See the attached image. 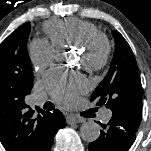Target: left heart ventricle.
Wrapping results in <instances>:
<instances>
[{"label":"left heart ventricle","instance_id":"obj_1","mask_svg":"<svg viewBox=\"0 0 151 151\" xmlns=\"http://www.w3.org/2000/svg\"><path fill=\"white\" fill-rule=\"evenodd\" d=\"M78 61H79V63L82 64V62H83V56H82V54H80Z\"/></svg>","mask_w":151,"mask_h":151}]
</instances>
